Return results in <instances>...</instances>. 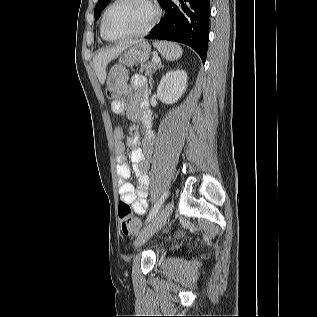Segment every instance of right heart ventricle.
I'll use <instances>...</instances> for the list:
<instances>
[{
	"label": "right heart ventricle",
	"instance_id": "1",
	"mask_svg": "<svg viewBox=\"0 0 317 317\" xmlns=\"http://www.w3.org/2000/svg\"><path fill=\"white\" fill-rule=\"evenodd\" d=\"M100 35H101L102 38H104L103 35H102V30H101V28H100Z\"/></svg>",
	"mask_w": 317,
	"mask_h": 317
}]
</instances>
